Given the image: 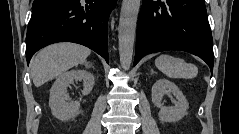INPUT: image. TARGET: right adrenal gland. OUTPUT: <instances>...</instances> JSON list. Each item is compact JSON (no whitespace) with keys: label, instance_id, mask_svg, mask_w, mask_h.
I'll return each mask as SVG.
<instances>
[{"label":"right adrenal gland","instance_id":"1","mask_svg":"<svg viewBox=\"0 0 239 134\" xmlns=\"http://www.w3.org/2000/svg\"><path fill=\"white\" fill-rule=\"evenodd\" d=\"M85 66H86V67H90V66H91V64H88V63H86V64H85Z\"/></svg>","mask_w":239,"mask_h":134}]
</instances>
